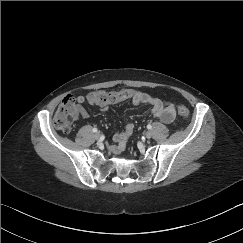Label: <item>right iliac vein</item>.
Instances as JSON below:
<instances>
[{
  "instance_id": "63e3f726",
  "label": "right iliac vein",
  "mask_w": 243,
  "mask_h": 243,
  "mask_svg": "<svg viewBox=\"0 0 243 243\" xmlns=\"http://www.w3.org/2000/svg\"><path fill=\"white\" fill-rule=\"evenodd\" d=\"M94 138H95V140H98L100 138V134L99 133H95L94 134Z\"/></svg>"
}]
</instances>
